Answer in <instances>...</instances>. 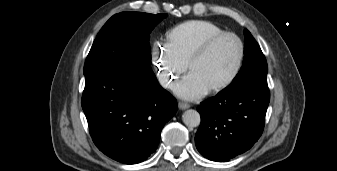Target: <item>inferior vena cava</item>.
<instances>
[{
    "instance_id": "inferior-vena-cava-1",
    "label": "inferior vena cava",
    "mask_w": 337,
    "mask_h": 171,
    "mask_svg": "<svg viewBox=\"0 0 337 171\" xmlns=\"http://www.w3.org/2000/svg\"><path fill=\"white\" fill-rule=\"evenodd\" d=\"M159 82L163 87H170V88L174 87V85L172 83L171 84L168 83V77L167 76H161L159 78Z\"/></svg>"
}]
</instances>
